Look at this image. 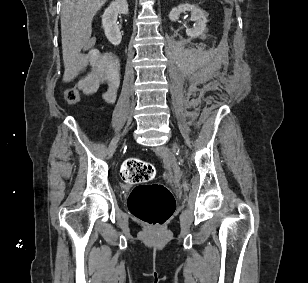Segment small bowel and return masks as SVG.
<instances>
[{
  "label": "small bowel",
  "mask_w": 308,
  "mask_h": 283,
  "mask_svg": "<svg viewBox=\"0 0 308 283\" xmlns=\"http://www.w3.org/2000/svg\"><path fill=\"white\" fill-rule=\"evenodd\" d=\"M85 69H88L86 74L79 78ZM66 74L70 80L78 78L77 86L88 95L96 93L100 85L105 84L103 99L109 103L116 100L119 67L112 54L99 50L78 54L68 65Z\"/></svg>",
  "instance_id": "small-bowel-1"
}]
</instances>
